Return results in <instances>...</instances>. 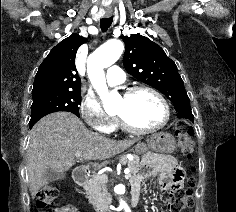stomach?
<instances>
[{
  "label": "stomach",
  "mask_w": 236,
  "mask_h": 212,
  "mask_svg": "<svg viewBox=\"0 0 236 212\" xmlns=\"http://www.w3.org/2000/svg\"><path fill=\"white\" fill-rule=\"evenodd\" d=\"M176 142L174 137L166 132H159L152 135L147 144L139 143L135 147L136 154H143L146 151H154L157 153L170 154L175 150Z\"/></svg>",
  "instance_id": "stomach-1"
}]
</instances>
